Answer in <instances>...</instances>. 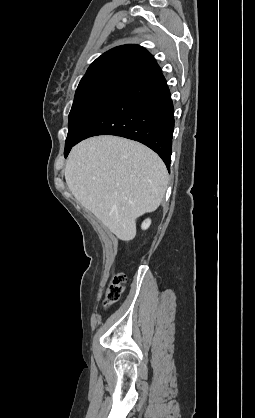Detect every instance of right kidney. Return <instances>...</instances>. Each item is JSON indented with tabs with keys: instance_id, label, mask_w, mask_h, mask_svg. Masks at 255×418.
Wrapping results in <instances>:
<instances>
[{
	"instance_id": "ca27d5eb",
	"label": "right kidney",
	"mask_w": 255,
	"mask_h": 418,
	"mask_svg": "<svg viewBox=\"0 0 255 418\" xmlns=\"http://www.w3.org/2000/svg\"><path fill=\"white\" fill-rule=\"evenodd\" d=\"M151 224V220L150 219H146L143 223H142V229L146 230L147 228H149Z\"/></svg>"
}]
</instances>
